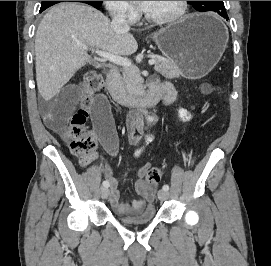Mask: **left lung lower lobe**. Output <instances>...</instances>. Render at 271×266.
I'll use <instances>...</instances> for the list:
<instances>
[{
	"label": "left lung lower lobe",
	"mask_w": 271,
	"mask_h": 266,
	"mask_svg": "<svg viewBox=\"0 0 271 266\" xmlns=\"http://www.w3.org/2000/svg\"><path fill=\"white\" fill-rule=\"evenodd\" d=\"M219 15L224 17L226 20H228V16H227L226 12H221V13H219Z\"/></svg>",
	"instance_id": "left-lung-lower-lobe-1"
}]
</instances>
